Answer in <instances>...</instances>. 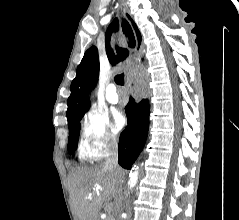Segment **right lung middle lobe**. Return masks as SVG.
Listing matches in <instances>:
<instances>
[{"instance_id": "right-lung-middle-lobe-1", "label": "right lung middle lobe", "mask_w": 239, "mask_h": 220, "mask_svg": "<svg viewBox=\"0 0 239 220\" xmlns=\"http://www.w3.org/2000/svg\"><path fill=\"white\" fill-rule=\"evenodd\" d=\"M84 115L80 116L69 125L68 151L72 154L78 146V139L80 133V120Z\"/></svg>"}]
</instances>
